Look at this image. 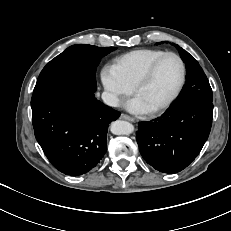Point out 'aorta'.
I'll list each match as a JSON object with an SVG mask.
<instances>
[{
	"label": "aorta",
	"mask_w": 231,
	"mask_h": 231,
	"mask_svg": "<svg viewBox=\"0 0 231 231\" xmlns=\"http://www.w3.org/2000/svg\"><path fill=\"white\" fill-rule=\"evenodd\" d=\"M111 132L115 135H128L134 131V126L122 120H116L111 124Z\"/></svg>",
	"instance_id": "762f6f07"
}]
</instances>
